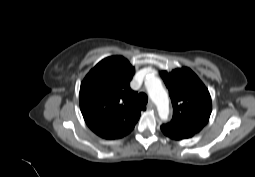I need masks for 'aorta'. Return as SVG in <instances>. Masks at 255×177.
I'll return each mask as SVG.
<instances>
[{"instance_id": "1", "label": "aorta", "mask_w": 255, "mask_h": 177, "mask_svg": "<svg viewBox=\"0 0 255 177\" xmlns=\"http://www.w3.org/2000/svg\"><path fill=\"white\" fill-rule=\"evenodd\" d=\"M145 86L149 97L158 108L160 118L166 120L169 114V99L161 80L155 76H150L146 79Z\"/></svg>"}]
</instances>
